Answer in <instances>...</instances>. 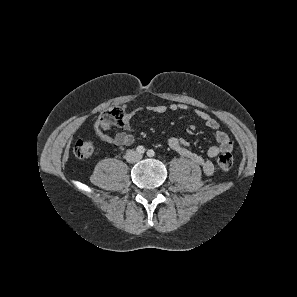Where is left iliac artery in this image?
I'll list each match as a JSON object with an SVG mask.
<instances>
[{
  "mask_svg": "<svg viewBox=\"0 0 297 297\" xmlns=\"http://www.w3.org/2000/svg\"><path fill=\"white\" fill-rule=\"evenodd\" d=\"M147 155L149 157H153L155 155V152L152 149H150V150L147 151Z\"/></svg>",
  "mask_w": 297,
  "mask_h": 297,
  "instance_id": "left-iliac-artery-1",
  "label": "left iliac artery"
}]
</instances>
